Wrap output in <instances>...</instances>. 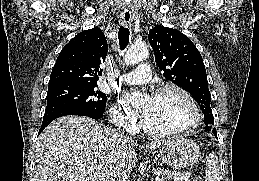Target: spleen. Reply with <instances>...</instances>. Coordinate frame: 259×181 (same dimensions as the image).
<instances>
[{"label":"spleen","mask_w":259,"mask_h":181,"mask_svg":"<svg viewBox=\"0 0 259 181\" xmlns=\"http://www.w3.org/2000/svg\"><path fill=\"white\" fill-rule=\"evenodd\" d=\"M220 164L214 152L206 159V181H220Z\"/></svg>","instance_id":"spleen-1"}]
</instances>
